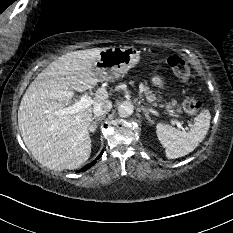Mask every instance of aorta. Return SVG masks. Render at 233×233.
Segmentation results:
<instances>
[{
  "label": "aorta",
  "mask_w": 233,
  "mask_h": 233,
  "mask_svg": "<svg viewBox=\"0 0 233 233\" xmlns=\"http://www.w3.org/2000/svg\"><path fill=\"white\" fill-rule=\"evenodd\" d=\"M134 106L131 102L125 101L118 106V114L121 117H129L132 115Z\"/></svg>",
  "instance_id": "762f6f07"
}]
</instances>
